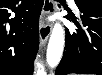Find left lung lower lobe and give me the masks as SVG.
<instances>
[{
	"mask_svg": "<svg viewBox=\"0 0 102 75\" xmlns=\"http://www.w3.org/2000/svg\"><path fill=\"white\" fill-rule=\"evenodd\" d=\"M77 7L82 13V25L76 17L71 18L78 29L76 32L65 30L64 53L55 75H102V8L78 4Z\"/></svg>",
	"mask_w": 102,
	"mask_h": 75,
	"instance_id": "left-lung-lower-lobe-1",
	"label": "left lung lower lobe"
}]
</instances>
